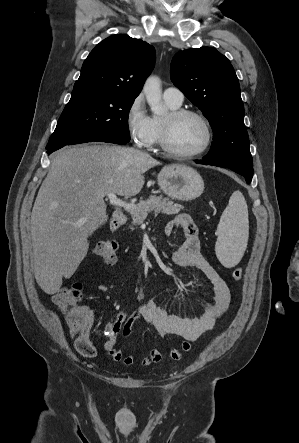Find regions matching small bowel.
Instances as JSON below:
<instances>
[{
	"label": "small bowel",
	"mask_w": 299,
	"mask_h": 443,
	"mask_svg": "<svg viewBox=\"0 0 299 443\" xmlns=\"http://www.w3.org/2000/svg\"><path fill=\"white\" fill-rule=\"evenodd\" d=\"M176 228L182 230L183 242L178 249L172 252L171 259L177 266L194 267L204 274L207 279L205 294L198 300L199 310L193 316L170 314L156 305L154 301L146 300L137 311L130 313L122 310L113 321L108 322L103 331L107 339L103 343L102 349L113 360L127 366L133 365L135 358L132 355L124 356L116 346L117 338L119 335L127 337L131 332L132 325L139 319L146 320L161 337L175 335L183 339L180 348H173L170 351L171 358L179 360L183 352H188L191 349L190 343L210 331L229 306V288L201 253L197 228L190 216L186 214L176 216L165 226V234L171 235ZM81 312L89 323V329L86 333L76 337L75 347L83 357L93 358L98 354V349L89 336L94 312L89 307H83ZM162 358L163 354L159 350L153 349L148 356L140 360V364L149 366L160 362Z\"/></svg>",
	"instance_id": "c3829d8e"
}]
</instances>
